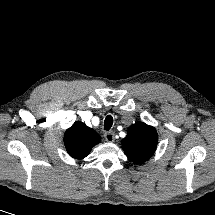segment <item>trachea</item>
I'll list each match as a JSON object with an SVG mask.
<instances>
[{
  "mask_svg": "<svg viewBox=\"0 0 215 215\" xmlns=\"http://www.w3.org/2000/svg\"><path fill=\"white\" fill-rule=\"evenodd\" d=\"M112 124H113V117L111 115H108L104 121V129L109 130L112 127Z\"/></svg>",
  "mask_w": 215,
  "mask_h": 215,
  "instance_id": "obj_1",
  "label": "trachea"
}]
</instances>
